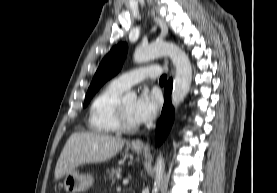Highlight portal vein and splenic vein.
<instances>
[{
	"instance_id": "portal-vein-and-splenic-vein-1",
	"label": "portal vein and splenic vein",
	"mask_w": 277,
	"mask_h": 193,
	"mask_svg": "<svg viewBox=\"0 0 277 193\" xmlns=\"http://www.w3.org/2000/svg\"><path fill=\"white\" fill-rule=\"evenodd\" d=\"M128 183H129V179H127V178L123 179V184L124 185H127Z\"/></svg>"
}]
</instances>
